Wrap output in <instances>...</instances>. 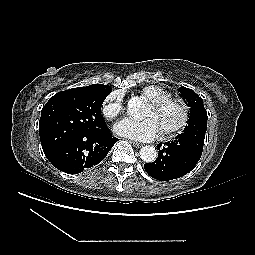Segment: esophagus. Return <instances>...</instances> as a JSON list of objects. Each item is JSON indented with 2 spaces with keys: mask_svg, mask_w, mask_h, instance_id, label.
Returning a JSON list of instances; mask_svg holds the SVG:
<instances>
[{
  "mask_svg": "<svg viewBox=\"0 0 255 255\" xmlns=\"http://www.w3.org/2000/svg\"><path fill=\"white\" fill-rule=\"evenodd\" d=\"M131 143H132L135 147H138V148H140V147L143 146L142 143H139V142H136V141H132Z\"/></svg>",
  "mask_w": 255,
  "mask_h": 255,
  "instance_id": "esophagus-1",
  "label": "esophagus"
}]
</instances>
